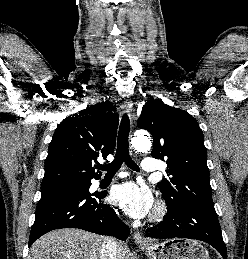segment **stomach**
<instances>
[{
    "mask_svg": "<svg viewBox=\"0 0 248 259\" xmlns=\"http://www.w3.org/2000/svg\"><path fill=\"white\" fill-rule=\"evenodd\" d=\"M149 259H210L199 242L190 239H170L160 244L140 246Z\"/></svg>",
    "mask_w": 248,
    "mask_h": 259,
    "instance_id": "stomach-1",
    "label": "stomach"
}]
</instances>
